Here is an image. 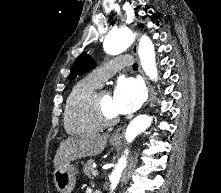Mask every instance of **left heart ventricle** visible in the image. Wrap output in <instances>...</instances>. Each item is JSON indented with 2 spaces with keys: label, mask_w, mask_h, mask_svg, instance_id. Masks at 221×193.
<instances>
[{
  "label": "left heart ventricle",
  "mask_w": 221,
  "mask_h": 193,
  "mask_svg": "<svg viewBox=\"0 0 221 193\" xmlns=\"http://www.w3.org/2000/svg\"><path fill=\"white\" fill-rule=\"evenodd\" d=\"M102 104L109 114H117L113 106V95L110 91L104 92L102 96Z\"/></svg>",
  "instance_id": "b2bd125f"
}]
</instances>
